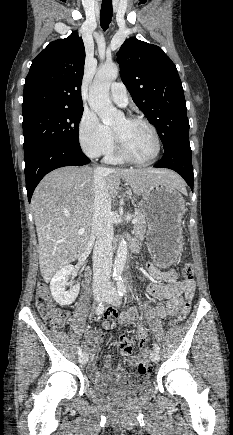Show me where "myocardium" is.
<instances>
[{
  "mask_svg": "<svg viewBox=\"0 0 233 435\" xmlns=\"http://www.w3.org/2000/svg\"><path fill=\"white\" fill-rule=\"evenodd\" d=\"M125 119L129 122L143 123L144 125H146L150 129V131L153 135L154 141H155V152H154V155L152 156V158H150L149 160L141 161V160L135 159L126 151L119 136L117 135V133L114 130H112L115 141H116L117 150H118L120 157L128 163L138 165V166H148V165H151L154 162H156V160L158 159V157L160 155L161 142H160V137H159L158 131L155 128V126L149 120H147L141 116H137V115L127 116Z\"/></svg>",
  "mask_w": 233,
  "mask_h": 435,
  "instance_id": "1",
  "label": "myocardium"
}]
</instances>
